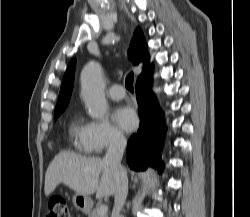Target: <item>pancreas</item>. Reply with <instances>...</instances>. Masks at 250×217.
I'll list each match as a JSON object with an SVG mask.
<instances>
[{
  "instance_id": "cf45deb5",
  "label": "pancreas",
  "mask_w": 250,
  "mask_h": 217,
  "mask_svg": "<svg viewBox=\"0 0 250 217\" xmlns=\"http://www.w3.org/2000/svg\"><path fill=\"white\" fill-rule=\"evenodd\" d=\"M98 209H99V206H97L96 208H94V209L88 214V217H108L107 213H105V214H98Z\"/></svg>"
}]
</instances>
